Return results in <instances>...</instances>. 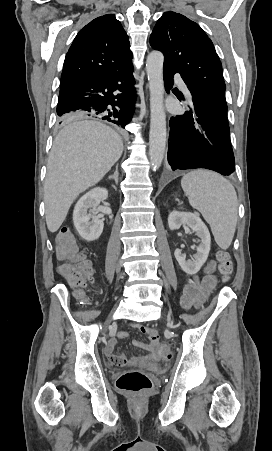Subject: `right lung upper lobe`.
Returning a JSON list of instances; mask_svg holds the SVG:
<instances>
[{"instance_id":"1","label":"right lung upper lobe","mask_w":272,"mask_h":451,"mask_svg":"<svg viewBox=\"0 0 272 451\" xmlns=\"http://www.w3.org/2000/svg\"><path fill=\"white\" fill-rule=\"evenodd\" d=\"M132 60L128 36L113 14L92 20L66 54L60 87L106 75Z\"/></svg>"}]
</instances>
